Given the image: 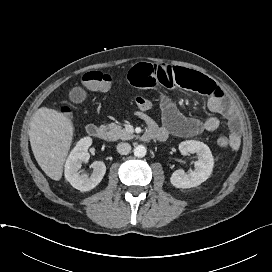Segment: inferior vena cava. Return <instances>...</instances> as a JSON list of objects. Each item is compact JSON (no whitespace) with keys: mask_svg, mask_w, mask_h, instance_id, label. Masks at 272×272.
Returning a JSON list of instances; mask_svg holds the SVG:
<instances>
[{"mask_svg":"<svg viewBox=\"0 0 272 272\" xmlns=\"http://www.w3.org/2000/svg\"><path fill=\"white\" fill-rule=\"evenodd\" d=\"M131 151V145L129 143H119L117 145V152L121 155H127Z\"/></svg>","mask_w":272,"mask_h":272,"instance_id":"602c4592","label":"inferior vena cava"}]
</instances>
